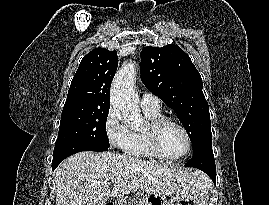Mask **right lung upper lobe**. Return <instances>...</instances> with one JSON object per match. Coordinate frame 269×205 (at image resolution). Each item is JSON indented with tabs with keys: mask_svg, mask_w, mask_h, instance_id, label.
I'll list each match as a JSON object with an SVG mask.
<instances>
[{
	"mask_svg": "<svg viewBox=\"0 0 269 205\" xmlns=\"http://www.w3.org/2000/svg\"><path fill=\"white\" fill-rule=\"evenodd\" d=\"M118 66L117 52L96 48L83 57L74 75L64 107L110 108V86Z\"/></svg>",
	"mask_w": 269,
	"mask_h": 205,
	"instance_id": "1",
	"label": "right lung upper lobe"
}]
</instances>
